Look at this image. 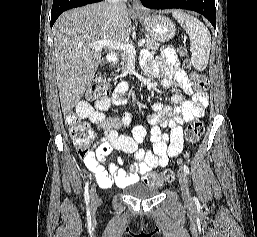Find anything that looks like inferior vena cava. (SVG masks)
<instances>
[{
	"mask_svg": "<svg viewBox=\"0 0 257 237\" xmlns=\"http://www.w3.org/2000/svg\"><path fill=\"white\" fill-rule=\"evenodd\" d=\"M127 0H107V3L112 7L115 14L126 9Z\"/></svg>",
	"mask_w": 257,
	"mask_h": 237,
	"instance_id": "602c4592",
	"label": "inferior vena cava"
}]
</instances>
